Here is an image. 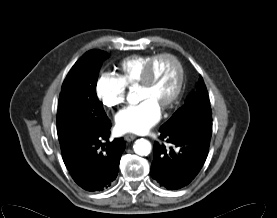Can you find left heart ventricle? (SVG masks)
Returning a JSON list of instances; mask_svg holds the SVG:
<instances>
[{"label":"left heart ventricle","mask_w":277,"mask_h":218,"mask_svg":"<svg viewBox=\"0 0 277 218\" xmlns=\"http://www.w3.org/2000/svg\"><path fill=\"white\" fill-rule=\"evenodd\" d=\"M177 81V69L168 59H161L155 66L153 80L149 86H141L140 98H151L159 105L169 96Z\"/></svg>","instance_id":"1"}]
</instances>
